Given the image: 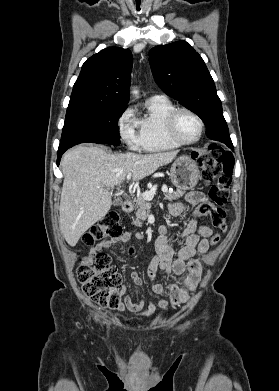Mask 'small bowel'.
<instances>
[{
	"label": "small bowel",
	"instance_id": "1",
	"mask_svg": "<svg viewBox=\"0 0 279 391\" xmlns=\"http://www.w3.org/2000/svg\"><path fill=\"white\" fill-rule=\"evenodd\" d=\"M186 202L192 205H201L207 202V198L200 191H192L186 195ZM185 209L186 205L179 202H172L168 206V211L173 216L180 215ZM213 235L210 227L199 225L196 219H192L178 235V238L185 239V245L176 251L170 243L167 228L160 226L159 234L155 239L156 255L151 260L147 269L151 291L155 295L168 292L170 302L173 306L187 302L190 298V293L197 289L203 274L201 263L194 256L208 252L210 247L208 239ZM132 237L141 239L143 235L141 233L125 232L118 240L127 242ZM109 245L110 243L104 241L94 245L91 248L90 255L85 258V261L92 262L95 256ZM158 270H162L169 275H175L177 277V283L167 285L158 283L156 281ZM131 278L135 285L140 286L142 284V279L138 272H132ZM156 308L168 312L170 306L167 300L159 297H151L147 305L144 300L135 303L128 294L124 296L123 303L119 305V311L122 312L128 309L135 316L145 318L151 317L155 313Z\"/></svg>",
	"mask_w": 279,
	"mask_h": 391
}]
</instances>
